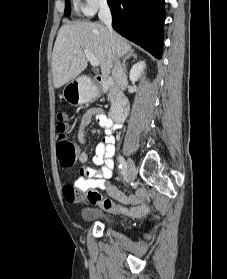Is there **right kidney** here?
<instances>
[{
  "label": "right kidney",
  "mask_w": 227,
  "mask_h": 279,
  "mask_svg": "<svg viewBox=\"0 0 227 279\" xmlns=\"http://www.w3.org/2000/svg\"><path fill=\"white\" fill-rule=\"evenodd\" d=\"M145 67L146 65L144 61H140L134 64L130 70V74H129L130 80L133 82L137 81L144 73Z\"/></svg>",
  "instance_id": "1"
}]
</instances>
